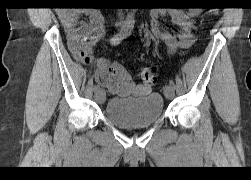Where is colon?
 <instances>
[{
  "label": "colon",
  "instance_id": "obj_1",
  "mask_svg": "<svg viewBox=\"0 0 251 180\" xmlns=\"http://www.w3.org/2000/svg\"><path fill=\"white\" fill-rule=\"evenodd\" d=\"M142 85L152 87L157 82V70L155 67H144L139 71Z\"/></svg>",
  "mask_w": 251,
  "mask_h": 180
}]
</instances>
